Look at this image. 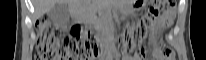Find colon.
<instances>
[{
    "mask_svg": "<svg viewBox=\"0 0 206 60\" xmlns=\"http://www.w3.org/2000/svg\"><path fill=\"white\" fill-rule=\"evenodd\" d=\"M175 5L176 1L173 0L152 1L136 25H126L120 43L123 54L131 58L142 55V44L148 36L150 24L159 18L169 20ZM99 51L95 33L88 26L73 25L70 33L61 39L58 30L47 18L37 22V60H90ZM164 51L172 56L171 50Z\"/></svg>",
    "mask_w": 206,
    "mask_h": 60,
    "instance_id": "obj_1",
    "label": "colon"
}]
</instances>
